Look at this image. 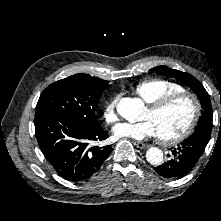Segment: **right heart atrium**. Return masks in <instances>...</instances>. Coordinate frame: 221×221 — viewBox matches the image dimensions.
<instances>
[{
    "mask_svg": "<svg viewBox=\"0 0 221 221\" xmlns=\"http://www.w3.org/2000/svg\"><path fill=\"white\" fill-rule=\"evenodd\" d=\"M118 97H112L104 106L103 118L106 123L113 124L118 120V114L116 111Z\"/></svg>",
    "mask_w": 221,
    "mask_h": 221,
    "instance_id": "d8ad5b80",
    "label": "right heart atrium"
}]
</instances>
